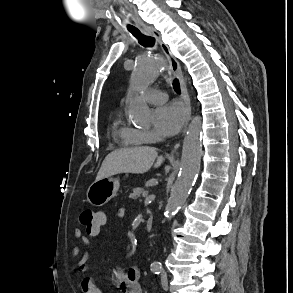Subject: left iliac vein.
<instances>
[{
	"label": "left iliac vein",
	"instance_id": "1",
	"mask_svg": "<svg viewBox=\"0 0 293 293\" xmlns=\"http://www.w3.org/2000/svg\"><path fill=\"white\" fill-rule=\"evenodd\" d=\"M161 284H162V287L165 291L168 290V281H167V277L166 275H163L162 278H161Z\"/></svg>",
	"mask_w": 293,
	"mask_h": 293
}]
</instances>
